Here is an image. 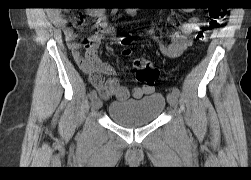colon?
<instances>
[{"label": "colon", "instance_id": "5ec220e1", "mask_svg": "<svg viewBox=\"0 0 251 180\" xmlns=\"http://www.w3.org/2000/svg\"><path fill=\"white\" fill-rule=\"evenodd\" d=\"M209 19L197 34V39H205L206 33L214 27L220 26L225 22L227 11L226 9L215 8L209 10ZM123 45L130 43L129 38H122ZM125 55H129V50L124 51ZM136 78L139 82L145 85H154L159 77L158 69L146 59H138L134 63Z\"/></svg>", "mask_w": 251, "mask_h": 180}]
</instances>
